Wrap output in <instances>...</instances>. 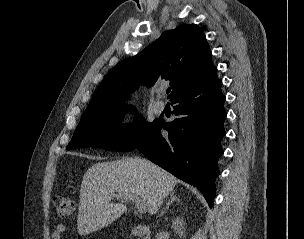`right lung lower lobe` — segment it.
<instances>
[{
  "instance_id": "98d812e1",
  "label": "right lung lower lobe",
  "mask_w": 304,
  "mask_h": 239,
  "mask_svg": "<svg viewBox=\"0 0 304 239\" xmlns=\"http://www.w3.org/2000/svg\"><path fill=\"white\" fill-rule=\"evenodd\" d=\"M216 71L197 84L177 93L175 120H159L151 135L135 149L179 179L197 187L212 207L218 159L223 154L225 96ZM168 135H161V129Z\"/></svg>"
}]
</instances>
